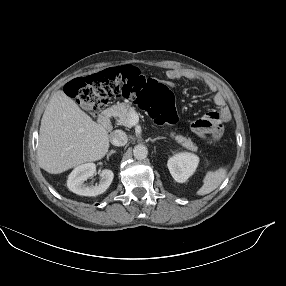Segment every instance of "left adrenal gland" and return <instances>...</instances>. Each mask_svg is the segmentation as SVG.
Returning <instances> with one entry per match:
<instances>
[{"instance_id": "left-adrenal-gland-1", "label": "left adrenal gland", "mask_w": 286, "mask_h": 286, "mask_svg": "<svg viewBox=\"0 0 286 286\" xmlns=\"http://www.w3.org/2000/svg\"><path fill=\"white\" fill-rule=\"evenodd\" d=\"M161 139H165V137H156V138H150V141L155 142L156 140H161Z\"/></svg>"}]
</instances>
